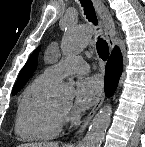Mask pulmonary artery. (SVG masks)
Here are the masks:
<instances>
[{
    "instance_id": "obj_1",
    "label": "pulmonary artery",
    "mask_w": 145,
    "mask_h": 147,
    "mask_svg": "<svg viewBox=\"0 0 145 147\" xmlns=\"http://www.w3.org/2000/svg\"><path fill=\"white\" fill-rule=\"evenodd\" d=\"M89 69L88 63L80 56H71L48 66L43 74L56 81L67 75L83 73Z\"/></svg>"
}]
</instances>
